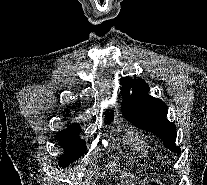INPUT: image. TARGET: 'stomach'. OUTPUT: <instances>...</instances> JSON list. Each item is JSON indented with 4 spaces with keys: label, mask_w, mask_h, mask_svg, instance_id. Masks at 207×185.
Segmentation results:
<instances>
[{
    "label": "stomach",
    "mask_w": 207,
    "mask_h": 185,
    "mask_svg": "<svg viewBox=\"0 0 207 185\" xmlns=\"http://www.w3.org/2000/svg\"><path fill=\"white\" fill-rule=\"evenodd\" d=\"M159 183L155 180H152L150 182H147V183H142L141 185H158Z\"/></svg>",
    "instance_id": "1"
}]
</instances>
